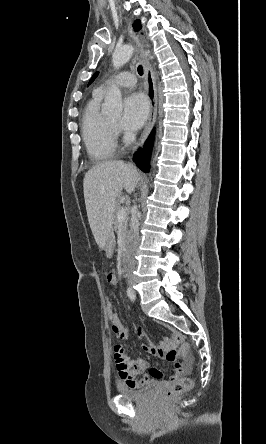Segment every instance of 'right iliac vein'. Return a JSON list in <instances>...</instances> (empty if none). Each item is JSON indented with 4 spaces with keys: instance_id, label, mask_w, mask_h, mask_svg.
Masks as SVG:
<instances>
[{
    "instance_id": "obj_1",
    "label": "right iliac vein",
    "mask_w": 266,
    "mask_h": 444,
    "mask_svg": "<svg viewBox=\"0 0 266 444\" xmlns=\"http://www.w3.org/2000/svg\"><path fill=\"white\" fill-rule=\"evenodd\" d=\"M128 284H129V285H133V284H134L133 280H132V279H129V280H128Z\"/></svg>"
}]
</instances>
